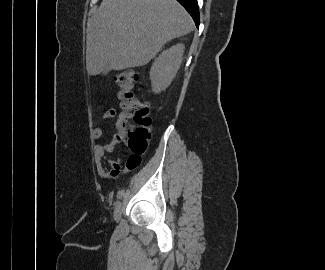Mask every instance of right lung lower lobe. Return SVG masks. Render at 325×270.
Returning a JSON list of instances; mask_svg holds the SVG:
<instances>
[{
	"instance_id": "obj_1",
	"label": "right lung lower lobe",
	"mask_w": 325,
	"mask_h": 270,
	"mask_svg": "<svg viewBox=\"0 0 325 270\" xmlns=\"http://www.w3.org/2000/svg\"><path fill=\"white\" fill-rule=\"evenodd\" d=\"M192 16L197 27H199V10L197 0H177Z\"/></svg>"
}]
</instances>
